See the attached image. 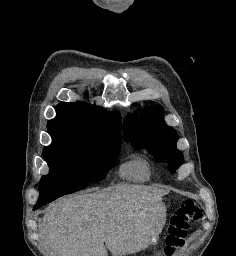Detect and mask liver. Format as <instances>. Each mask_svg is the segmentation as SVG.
<instances>
[{"mask_svg":"<svg viewBox=\"0 0 236 256\" xmlns=\"http://www.w3.org/2000/svg\"><path fill=\"white\" fill-rule=\"evenodd\" d=\"M161 190L117 184L93 194L69 196L51 204L39 226L45 256H125L142 250L153 202L158 212ZM157 200V204H155ZM149 204V206H147ZM105 242V244H104ZM107 250H106V248Z\"/></svg>","mask_w":236,"mask_h":256,"instance_id":"liver-1","label":"liver"}]
</instances>
